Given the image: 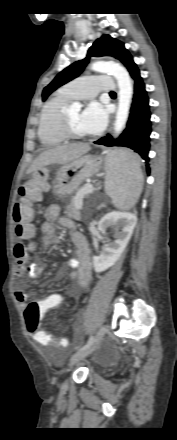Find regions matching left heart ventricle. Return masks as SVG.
Instances as JSON below:
<instances>
[{
    "instance_id": "obj_1",
    "label": "left heart ventricle",
    "mask_w": 177,
    "mask_h": 440,
    "mask_svg": "<svg viewBox=\"0 0 177 440\" xmlns=\"http://www.w3.org/2000/svg\"><path fill=\"white\" fill-rule=\"evenodd\" d=\"M68 117L71 122V126L73 130L79 134H85L79 125L80 112L78 110L68 109L67 110Z\"/></svg>"
}]
</instances>
